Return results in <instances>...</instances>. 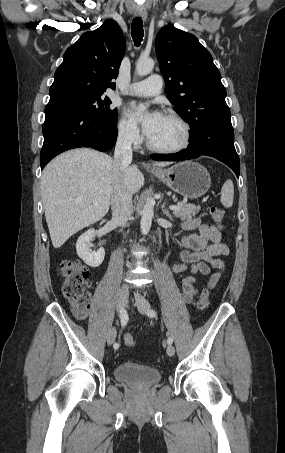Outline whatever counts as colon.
<instances>
[{
	"label": "colon",
	"instance_id": "obj_1",
	"mask_svg": "<svg viewBox=\"0 0 285 453\" xmlns=\"http://www.w3.org/2000/svg\"><path fill=\"white\" fill-rule=\"evenodd\" d=\"M210 215L214 222L221 225L224 212L221 208L213 206L210 208ZM60 272L63 276L62 294L69 303L72 311L78 317H84L91 305V294L88 290L89 272L85 265L78 260H63L60 263ZM210 291L204 288L197 300L196 306L200 311L205 310L209 305ZM124 343L128 347L135 345L134 338L127 334L124 336Z\"/></svg>",
	"mask_w": 285,
	"mask_h": 453
}]
</instances>
